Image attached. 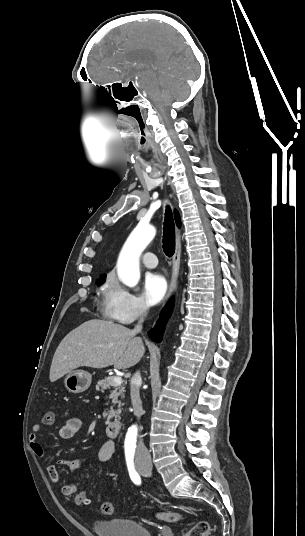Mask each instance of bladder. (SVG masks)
I'll return each instance as SVG.
<instances>
[{
    "label": "bladder",
    "mask_w": 305,
    "mask_h": 536,
    "mask_svg": "<svg viewBox=\"0 0 305 536\" xmlns=\"http://www.w3.org/2000/svg\"><path fill=\"white\" fill-rule=\"evenodd\" d=\"M92 529L96 536H152L139 521L123 517L94 520Z\"/></svg>",
    "instance_id": "1"
}]
</instances>
